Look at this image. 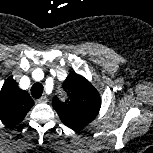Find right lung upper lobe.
<instances>
[{
	"mask_svg": "<svg viewBox=\"0 0 153 153\" xmlns=\"http://www.w3.org/2000/svg\"><path fill=\"white\" fill-rule=\"evenodd\" d=\"M34 105L30 95L9 77L0 91V120L7 125L20 123Z\"/></svg>",
	"mask_w": 153,
	"mask_h": 153,
	"instance_id": "cb5924a9",
	"label": "right lung upper lobe"
}]
</instances>
